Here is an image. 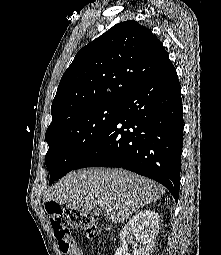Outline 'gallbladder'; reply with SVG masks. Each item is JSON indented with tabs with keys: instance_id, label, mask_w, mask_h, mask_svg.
Returning <instances> with one entry per match:
<instances>
[{
	"instance_id": "1",
	"label": "gallbladder",
	"mask_w": 221,
	"mask_h": 255,
	"mask_svg": "<svg viewBox=\"0 0 221 255\" xmlns=\"http://www.w3.org/2000/svg\"><path fill=\"white\" fill-rule=\"evenodd\" d=\"M93 212L95 215H100L102 213L99 209H95Z\"/></svg>"
}]
</instances>
